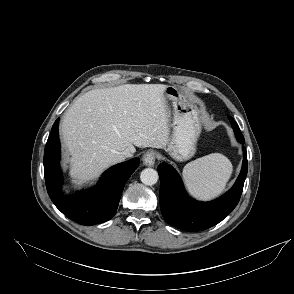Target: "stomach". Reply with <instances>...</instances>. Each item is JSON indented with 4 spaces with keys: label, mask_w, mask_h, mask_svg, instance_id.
Instances as JSON below:
<instances>
[{
    "label": "stomach",
    "mask_w": 294,
    "mask_h": 294,
    "mask_svg": "<svg viewBox=\"0 0 294 294\" xmlns=\"http://www.w3.org/2000/svg\"><path fill=\"white\" fill-rule=\"evenodd\" d=\"M166 103H171L172 133L166 151L177 161L192 157L201 133V118L197 106L184 99L181 91L168 86L164 91Z\"/></svg>",
    "instance_id": "obj_1"
}]
</instances>
